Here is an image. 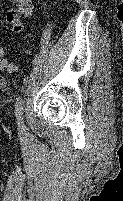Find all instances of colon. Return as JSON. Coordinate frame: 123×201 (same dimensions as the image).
<instances>
[{"mask_svg":"<svg viewBox=\"0 0 123 201\" xmlns=\"http://www.w3.org/2000/svg\"><path fill=\"white\" fill-rule=\"evenodd\" d=\"M0 70L6 72H13L15 70L13 63L8 62L4 58V53H2L1 51H0Z\"/></svg>","mask_w":123,"mask_h":201,"instance_id":"1","label":"colon"}]
</instances>
